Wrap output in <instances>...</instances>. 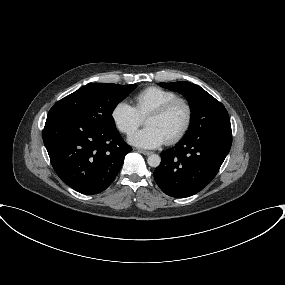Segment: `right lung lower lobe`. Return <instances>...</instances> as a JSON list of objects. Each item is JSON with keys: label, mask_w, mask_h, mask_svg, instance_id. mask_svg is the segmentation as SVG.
<instances>
[{"label": "right lung lower lobe", "mask_w": 285, "mask_h": 285, "mask_svg": "<svg viewBox=\"0 0 285 285\" xmlns=\"http://www.w3.org/2000/svg\"><path fill=\"white\" fill-rule=\"evenodd\" d=\"M43 141L60 179L83 194L105 190L132 150L116 129H98L60 110L49 111Z\"/></svg>", "instance_id": "98d812e1"}]
</instances>
